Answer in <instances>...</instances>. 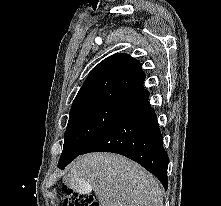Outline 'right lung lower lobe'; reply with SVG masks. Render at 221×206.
Returning <instances> with one entry per match:
<instances>
[{
  "label": "right lung lower lobe",
  "mask_w": 221,
  "mask_h": 206,
  "mask_svg": "<svg viewBox=\"0 0 221 206\" xmlns=\"http://www.w3.org/2000/svg\"><path fill=\"white\" fill-rule=\"evenodd\" d=\"M149 94L136 101L80 153L103 151L124 155L154 174L168 188V155L154 109L148 102ZM69 162L59 166L64 169Z\"/></svg>",
  "instance_id": "1"
}]
</instances>
